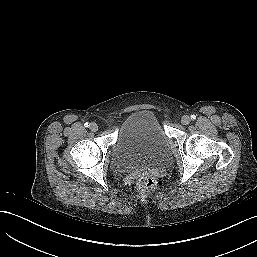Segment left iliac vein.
<instances>
[{
    "mask_svg": "<svg viewBox=\"0 0 257 257\" xmlns=\"http://www.w3.org/2000/svg\"><path fill=\"white\" fill-rule=\"evenodd\" d=\"M191 119L189 116L187 115H184L182 118H181V123L183 125H188L190 123Z\"/></svg>",
    "mask_w": 257,
    "mask_h": 257,
    "instance_id": "1",
    "label": "left iliac vein"
}]
</instances>
